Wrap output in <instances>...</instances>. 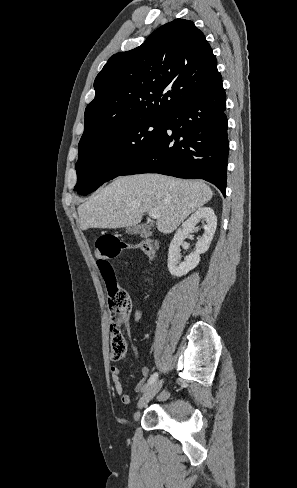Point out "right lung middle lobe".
<instances>
[{
	"label": "right lung middle lobe",
	"mask_w": 297,
	"mask_h": 488,
	"mask_svg": "<svg viewBox=\"0 0 297 488\" xmlns=\"http://www.w3.org/2000/svg\"><path fill=\"white\" fill-rule=\"evenodd\" d=\"M166 118H144L96 139H81L76 191L87 195L121 175L158 138Z\"/></svg>",
	"instance_id": "dd1d6c3e"
}]
</instances>
